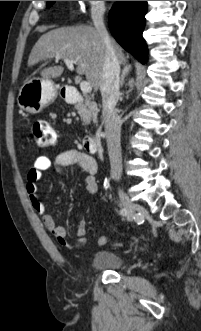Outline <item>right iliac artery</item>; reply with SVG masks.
<instances>
[{"label": "right iliac artery", "instance_id": "82829eb1", "mask_svg": "<svg viewBox=\"0 0 201 331\" xmlns=\"http://www.w3.org/2000/svg\"><path fill=\"white\" fill-rule=\"evenodd\" d=\"M104 187H105V188H108V182H107V180H105V182H104ZM126 213H127V212H126L125 209H121V210H120V214H121V215H126Z\"/></svg>", "mask_w": 201, "mask_h": 331}]
</instances>
